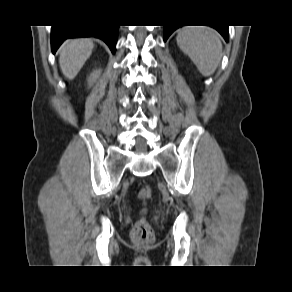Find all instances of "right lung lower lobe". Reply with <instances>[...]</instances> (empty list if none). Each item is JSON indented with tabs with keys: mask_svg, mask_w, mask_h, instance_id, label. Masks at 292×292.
I'll return each instance as SVG.
<instances>
[{
	"mask_svg": "<svg viewBox=\"0 0 292 292\" xmlns=\"http://www.w3.org/2000/svg\"><path fill=\"white\" fill-rule=\"evenodd\" d=\"M118 27L102 25L53 26L51 33L52 51L55 53L60 44L67 38L96 37L103 40L114 53Z\"/></svg>",
	"mask_w": 292,
	"mask_h": 292,
	"instance_id": "right-lung-lower-lobe-1",
	"label": "right lung lower lobe"
}]
</instances>
